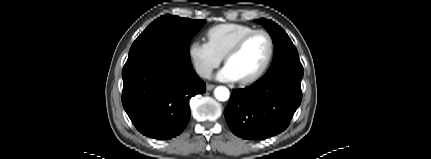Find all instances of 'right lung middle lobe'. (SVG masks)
Listing matches in <instances>:
<instances>
[{"label":"right lung middle lobe","mask_w":431,"mask_h":159,"mask_svg":"<svg viewBox=\"0 0 431 159\" xmlns=\"http://www.w3.org/2000/svg\"><path fill=\"white\" fill-rule=\"evenodd\" d=\"M204 23L205 20H191L172 15L161 16L133 42L128 57L149 49L160 48L190 61L189 44Z\"/></svg>","instance_id":"dd1d6c3e"}]
</instances>
